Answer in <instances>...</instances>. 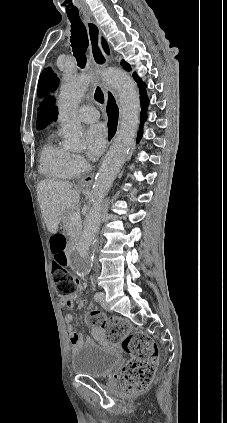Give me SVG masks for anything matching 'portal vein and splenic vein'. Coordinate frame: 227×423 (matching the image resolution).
I'll use <instances>...</instances> for the list:
<instances>
[{
	"instance_id": "obj_1",
	"label": "portal vein and splenic vein",
	"mask_w": 227,
	"mask_h": 423,
	"mask_svg": "<svg viewBox=\"0 0 227 423\" xmlns=\"http://www.w3.org/2000/svg\"><path fill=\"white\" fill-rule=\"evenodd\" d=\"M71 219H72V221H74V223H79V221L81 219V215H80L79 211H76V213H73Z\"/></svg>"
}]
</instances>
